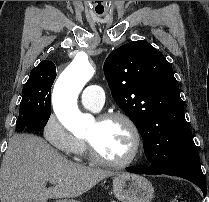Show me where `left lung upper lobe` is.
Here are the masks:
<instances>
[{
	"mask_svg": "<svg viewBox=\"0 0 209 202\" xmlns=\"http://www.w3.org/2000/svg\"><path fill=\"white\" fill-rule=\"evenodd\" d=\"M112 96L138 128L154 169H167L196 149L178 82L164 55L145 41L115 49L104 63Z\"/></svg>",
	"mask_w": 209,
	"mask_h": 202,
	"instance_id": "1",
	"label": "left lung upper lobe"
}]
</instances>
